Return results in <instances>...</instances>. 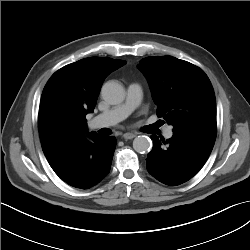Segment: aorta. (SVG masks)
Here are the masks:
<instances>
[{
  "label": "aorta",
  "mask_w": 250,
  "mask_h": 250,
  "mask_svg": "<svg viewBox=\"0 0 250 250\" xmlns=\"http://www.w3.org/2000/svg\"><path fill=\"white\" fill-rule=\"evenodd\" d=\"M102 98L111 105L120 104L125 98V90L119 83L107 82L101 89ZM151 140L147 136H137L133 148L138 153H146L151 148Z\"/></svg>",
  "instance_id": "1"
}]
</instances>
